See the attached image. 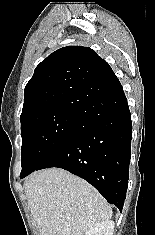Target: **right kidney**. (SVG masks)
I'll return each mask as SVG.
<instances>
[{"mask_svg":"<svg viewBox=\"0 0 155 235\" xmlns=\"http://www.w3.org/2000/svg\"><path fill=\"white\" fill-rule=\"evenodd\" d=\"M114 226L113 221L105 220L92 226L85 235H113Z\"/></svg>","mask_w":155,"mask_h":235,"instance_id":"ca27d5eb","label":"right kidney"}]
</instances>
